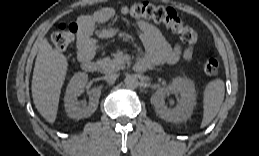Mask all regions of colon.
<instances>
[{"instance_id":"1","label":"colon","mask_w":259,"mask_h":156,"mask_svg":"<svg viewBox=\"0 0 259 156\" xmlns=\"http://www.w3.org/2000/svg\"><path fill=\"white\" fill-rule=\"evenodd\" d=\"M122 12L132 17L150 19L156 23L164 24L185 43L193 44L198 39L197 33L192 28L185 26L172 8L143 2L126 6L122 9ZM78 32V23H61L57 31L52 34L51 41L56 49L64 50L73 42ZM204 71L210 76L217 74L219 71L218 61L214 58L208 59L204 64Z\"/></svg>"}]
</instances>
